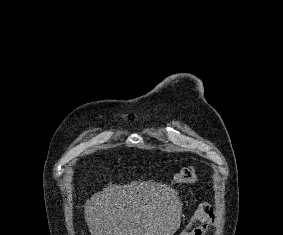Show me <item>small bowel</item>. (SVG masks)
Instances as JSON below:
<instances>
[{
    "mask_svg": "<svg viewBox=\"0 0 283 235\" xmlns=\"http://www.w3.org/2000/svg\"><path fill=\"white\" fill-rule=\"evenodd\" d=\"M214 220L213 208L208 204L198 206L192 216V223H198V226L190 232L180 235H206Z\"/></svg>",
    "mask_w": 283,
    "mask_h": 235,
    "instance_id": "obj_1",
    "label": "small bowel"
}]
</instances>
